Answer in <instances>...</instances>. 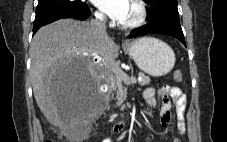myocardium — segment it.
<instances>
[{
  "instance_id": "f54148a6",
  "label": "myocardium",
  "mask_w": 227,
  "mask_h": 142,
  "mask_svg": "<svg viewBox=\"0 0 227 142\" xmlns=\"http://www.w3.org/2000/svg\"><path fill=\"white\" fill-rule=\"evenodd\" d=\"M137 9L136 17L127 23H120L123 29H135L145 24L148 18V7L144 0H132Z\"/></svg>"
}]
</instances>
